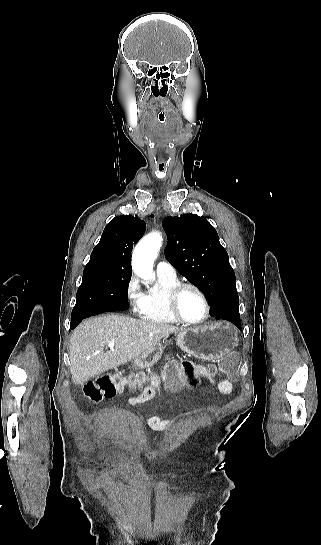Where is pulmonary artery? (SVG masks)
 Wrapping results in <instances>:
<instances>
[{
	"instance_id": "1",
	"label": "pulmonary artery",
	"mask_w": 321,
	"mask_h": 545,
	"mask_svg": "<svg viewBox=\"0 0 321 545\" xmlns=\"http://www.w3.org/2000/svg\"><path fill=\"white\" fill-rule=\"evenodd\" d=\"M156 272L159 275L170 277V278L177 277V272H176V269L174 268V266L171 263L164 260V259H162V260H160L158 262V264L156 266Z\"/></svg>"
}]
</instances>
